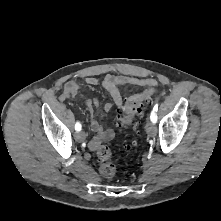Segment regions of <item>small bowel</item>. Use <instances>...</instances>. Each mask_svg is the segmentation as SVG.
<instances>
[{"mask_svg":"<svg viewBox=\"0 0 221 221\" xmlns=\"http://www.w3.org/2000/svg\"><path fill=\"white\" fill-rule=\"evenodd\" d=\"M97 84L98 80L95 77H87L82 81H68L64 85L60 98L63 101L70 99L83 87H93ZM101 84L111 98V101L105 103L103 106V111L108 113L113 107H118L121 110L123 109V98L121 96L119 86H154V81L134 76L108 74L104 77ZM85 106L91 116V128L95 132V136L89 142V148L91 150H97L102 142L108 141L114 137V130L112 128H104L97 120L96 117L101 112L98 99L93 98L87 100L85 102ZM121 115L122 112L119 111L115 117L116 124L119 129L123 126Z\"/></svg>","mask_w":221,"mask_h":221,"instance_id":"small-bowel-1","label":"small bowel"}]
</instances>
